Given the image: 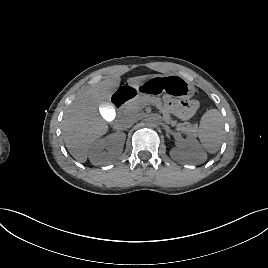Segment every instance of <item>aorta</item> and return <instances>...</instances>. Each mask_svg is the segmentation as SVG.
<instances>
[{
  "label": "aorta",
  "instance_id": "1",
  "mask_svg": "<svg viewBox=\"0 0 268 268\" xmlns=\"http://www.w3.org/2000/svg\"><path fill=\"white\" fill-rule=\"evenodd\" d=\"M146 125L148 127L154 128L158 125V119L155 115H150L147 119H146Z\"/></svg>",
  "mask_w": 268,
  "mask_h": 268
}]
</instances>
